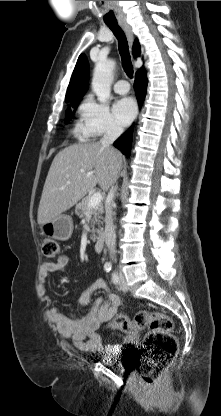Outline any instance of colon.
<instances>
[{
    "mask_svg": "<svg viewBox=\"0 0 221 416\" xmlns=\"http://www.w3.org/2000/svg\"><path fill=\"white\" fill-rule=\"evenodd\" d=\"M58 252L59 245L56 240L43 241L42 253L45 257L53 258ZM109 328L130 336H136L147 329L140 349V374L148 384L156 381L176 354L178 340L173 333L174 324L163 312L143 310L133 318L117 315L109 323Z\"/></svg>",
    "mask_w": 221,
    "mask_h": 416,
    "instance_id": "colon-1",
    "label": "colon"
}]
</instances>
